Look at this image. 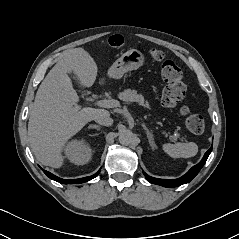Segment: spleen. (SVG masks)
Here are the masks:
<instances>
[{
    "label": "spleen",
    "mask_w": 239,
    "mask_h": 239,
    "mask_svg": "<svg viewBox=\"0 0 239 239\" xmlns=\"http://www.w3.org/2000/svg\"><path fill=\"white\" fill-rule=\"evenodd\" d=\"M164 152L172 158H189L198 152V146L194 142L187 143H166L162 146Z\"/></svg>",
    "instance_id": "1"
}]
</instances>
